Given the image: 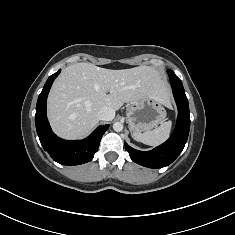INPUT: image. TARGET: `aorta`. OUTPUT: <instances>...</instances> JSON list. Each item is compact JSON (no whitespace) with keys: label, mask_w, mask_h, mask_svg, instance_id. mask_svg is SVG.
Listing matches in <instances>:
<instances>
[{"label":"aorta","mask_w":235,"mask_h":235,"mask_svg":"<svg viewBox=\"0 0 235 235\" xmlns=\"http://www.w3.org/2000/svg\"><path fill=\"white\" fill-rule=\"evenodd\" d=\"M113 129H114V131H116V132L122 131V130H123V123H121V122H115V123L113 124Z\"/></svg>","instance_id":"obj_1"}]
</instances>
